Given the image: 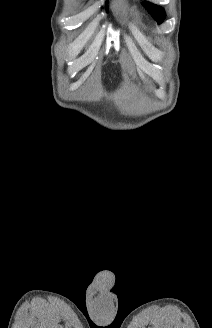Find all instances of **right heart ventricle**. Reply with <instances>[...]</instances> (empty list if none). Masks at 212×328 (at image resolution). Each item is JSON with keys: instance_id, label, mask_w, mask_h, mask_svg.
<instances>
[{"instance_id": "1", "label": "right heart ventricle", "mask_w": 212, "mask_h": 328, "mask_svg": "<svg viewBox=\"0 0 212 328\" xmlns=\"http://www.w3.org/2000/svg\"><path fill=\"white\" fill-rule=\"evenodd\" d=\"M119 6L122 8V7H124V4H120Z\"/></svg>"}]
</instances>
